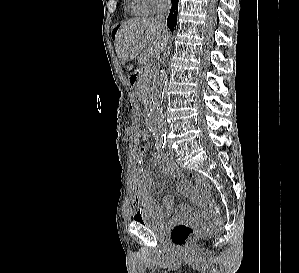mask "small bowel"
Segmentation results:
<instances>
[{
    "instance_id": "c3829d8e",
    "label": "small bowel",
    "mask_w": 299,
    "mask_h": 273,
    "mask_svg": "<svg viewBox=\"0 0 299 273\" xmlns=\"http://www.w3.org/2000/svg\"><path fill=\"white\" fill-rule=\"evenodd\" d=\"M149 149L143 147L139 150L138 163H141V157ZM154 165L164 174L171 176L174 179H181L182 174L176 165L167 157L158 154L155 156ZM180 193L186 197L197 201L196 195L192 192L191 188L186 182L180 181L177 185ZM174 207V200L170 195L162 197V204L158 205L153 199L152 181L148 174H142L135 180V196H134V220L139 221L145 216L152 215L159 219L168 216ZM194 216L190 206L182 205L175 213V220H182Z\"/></svg>"
}]
</instances>
